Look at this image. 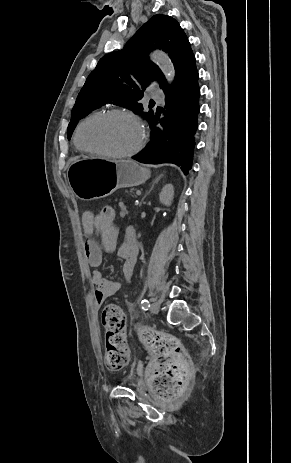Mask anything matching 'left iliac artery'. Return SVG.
<instances>
[{"label":"left iliac artery","mask_w":291,"mask_h":463,"mask_svg":"<svg viewBox=\"0 0 291 463\" xmlns=\"http://www.w3.org/2000/svg\"><path fill=\"white\" fill-rule=\"evenodd\" d=\"M150 307L149 301L147 299L141 300V308L146 311Z\"/></svg>","instance_id":"left-iliac-artery-1"}]
</instances>
